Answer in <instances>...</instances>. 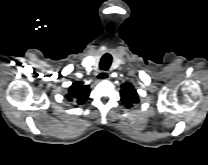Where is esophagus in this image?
<instances>
[{
    "label": "esophagus",
    "instance_id": "34e87169",
    "mask_svg": "<svg viewBox=\"0 0 208 165\" xmlns=\"http://www.w3.org/2000/svg\"><path fill=\"white\" fill-rule=\"evenodd\" d=\"M100 79H109L110 78V73L108 71H102L99 74Z\"/></svg>",
    "mask_w": 208,
    "mask_h": 165
}]
</instances>
